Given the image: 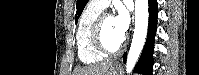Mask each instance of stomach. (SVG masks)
Listing matches in <instances>:
<instances>
[{"label":"stomach","instance_id":"obj_1","mask_svg":"<svg viewBox=\"0 0 199 75\" xmlns=\"http://www.w3.org/2000/svg\"><path fill=\"white\" fill-rule=\"evenodd\" d=\"M109 75H120V70L118 67H112L110 69V74Z\"/></svg>","mask_w":199,"mask_h":75}]
</instances>
